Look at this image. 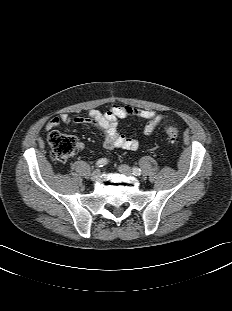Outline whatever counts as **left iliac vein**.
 <instances>
[{"label": "left iliac vein", "instance_id": "4c4485c4", "mask_svg": "<svg viewBox=\"0 0 232 311\" xmlns=\"http://www.w3.org/2000/svg\"><path fill=\"white\" fill-rule=\"evenodd\" d=\"M118 171L127 176H131L133 174L131 168L124 164L118 167Z\"/></svg>", "mask_w": 232, "mask_h": 311}]
</instances>
